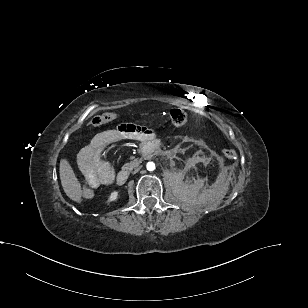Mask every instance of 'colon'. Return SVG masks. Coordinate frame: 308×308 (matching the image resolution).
<instances>
[{"label": "colon", "mask_w": 308, "mask_h": 308, "mask_svg": "<svg viewBox=\"0 0 308 308\" xmlns=\"http://www.w3.org/2000/svg\"><path fill=\"white\" fill-rule=\"evenodd\" d=\"M187 113L181 108H172L169 111V120L174 126H181L187 122ZM116 119V114L114 113H103L92 118L90 124L92 126H100L109 123ZM223 154L227 159H234L236 157V152L234 149L228 148L223 150ZM95 195V188L91 185H85L82 189L81 196L83 199H92Z\"/></svg>", "instance_id": "colon-1"}]
</instances>
